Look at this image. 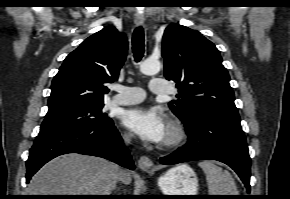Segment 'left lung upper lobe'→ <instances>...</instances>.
Segmentation results:
<instances>
[{"instance_id":"1","label":"left lung upper lobe","mask_w":290,"mask_h":199,"mask_svg":"<svg viewBox=\"0 0 290 199\" xmlns=\"http://www.w3.org/2000/svg\"><path fill=\"white\" fill-rule=\"evenodd\" d=\"M162 56L166 79L176 82L172 112L186 122L199 114L240 121L229 74L216 46L196 30L171 24L164 32Z\"/></svg>"}]
</instances>
